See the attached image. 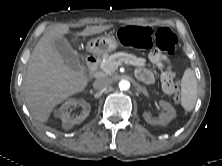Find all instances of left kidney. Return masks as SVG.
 Masks as SVG:
<instances>
[{"label":"left kidney","instance_id":"obj_1","mask_svg":"<svg viewBox=\"0 0 222 166\" xmlns=\"http://www.w3.org/2000/svg\"><path fill=\"white\" fill-rule=\"evenodd\" d=\"M159 105L162 107L163 112L158 118H152L147 112L143 113V118L149 124L166 126L172 119L176 117V111L171 104L163 100L159 101Z\"/></svg>","mask_w":222,"mask_h":166}]
</instances>
